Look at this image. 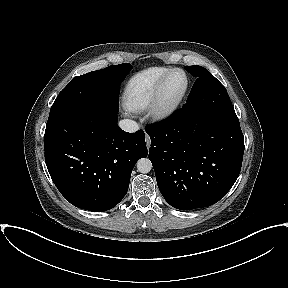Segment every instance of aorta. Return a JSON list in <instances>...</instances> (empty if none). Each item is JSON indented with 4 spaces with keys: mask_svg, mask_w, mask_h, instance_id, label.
I'll use <instances>...</instances> for the list:
<instances>
[{
    "mask_svg": "<svg viewBox=\"0 0 288 288\" xmlns=\"http://www.w3.org/2000/svg\"><path fill=\"white\" fill-rule=\"evenodd\" d=\"M152 169V163L148 158H141L137 162V171L140 173H149Z\"/></svg>",
    "mask_w": 288,
    "mask_h": 288,
    "instance_id": "obj_1",
    "label": "aorta"
}]
</instances>
